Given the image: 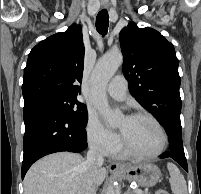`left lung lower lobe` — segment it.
I'll list each match as a JSON object with an SVG mask.
<instances>
[{"label":"left lung lower lobe","mask_w":201,"mask_h":194,"mask_svg":"<svg viewBox=\"0 0 201 194\" xmlns=\"http://www.w3.org/2000/svg\"><path fill=\"white\" fill-rule=\"evenodd\" d=\"M169 136V150L163 153L161 158H172L178 162L187 172L188 165L184 154L182 143V128L179 118L169 117L161 124Z\"/></svg>","instance_id":"0a47b994"}]
</instances>
